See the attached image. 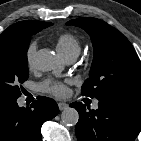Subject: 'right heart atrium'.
Instances as JSON below:
<instances>
[{
	"label": "right heart atrium",
	"instance_id": "obj_1",
	"mask_svg": "<svg viewBox=\"0 0 141 141\" xmlns=\"http://www.w3.org/2000/svg\"><path fill=\"white\" fill-rule=\"evenodd\" d=\"M36 49H37V44L34 41L30 42L26 48L25 61H26V66L29 70L33 68Z\"/></svg>",
	"mask_w": 141,
	"mask_h": 141
}]
</instances>
